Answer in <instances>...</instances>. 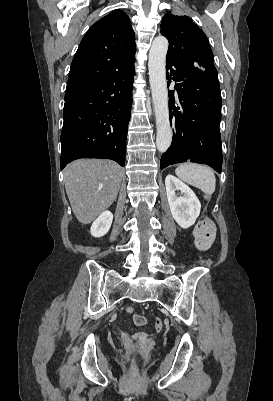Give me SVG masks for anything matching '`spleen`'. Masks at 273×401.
I'll return each mask as SVG.
<instances>
[{
	"mask_svg": "<svg viewBox=\"0 0 273 401\" xmlns=\"http://www.w3.org/2000/svg\"><path fill=\"white\" fill-rule=\"evenodd\" d=\"M177 176L193 184L197 188H201L205 194L211 196L215 190L216 178L214 170L210 166H204V164H194V162H184L179 164L175 170Z\"/></svg>",
	"mask_w": 273,
	"mask_h": 401,
	"instance_id": "obj_1",
	"label": "spleen"
}]
</instances>
